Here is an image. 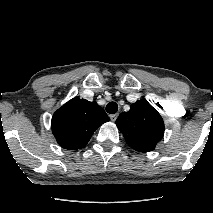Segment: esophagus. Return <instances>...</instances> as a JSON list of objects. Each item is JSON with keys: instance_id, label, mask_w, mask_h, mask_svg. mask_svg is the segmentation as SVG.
<instances>
[{"instance_id": "1", "label": "esophagus", "mask_w": 213, "mask_h": 213, "mask_svg": "<svg viewBox=\"0 0 213 213\" xmlns=\"http://www.w3.org/2000/svg\"><path fill=\"white\" fill-rule=\"evenodd\" d=\"M117 116H118L117 114H111V115H110L111 121H113V122L116 121Z\"/></svg>"}]
</instances>
